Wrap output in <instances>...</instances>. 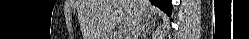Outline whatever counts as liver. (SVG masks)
I'll return each instance as SVG.
<instances>
[{
    "instance_id": "liver-1",
    "label": "liver",
    "mask_w": 249,
    "mask_h": 39,
    "mask_svg": "<svg viewBox=\"0 0 249 39\" xmlns=\"http://www.w3.org/2000/svg\"><path fill=\"white\" fill-rule=\"evenodd\" d=\"M151 8L148 0H82L79 20L83 37L108 39L119 23L129 29L137 11L144 13Z\"/></svg>"
}]
</instances>
